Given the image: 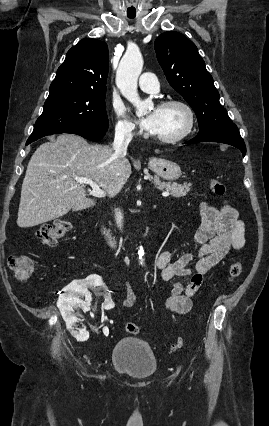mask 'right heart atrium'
<instances>
[{
	"mask_svg": "<svg viewBox=\"0 0 269 426\" xmlns=\"http://www.w3.org/2000/svg\"><path fill=\"white\" fill-rule=\"evenodd\" d=\"M115 131L121 137H132L137 134L135 124L128 118L125 110L120 106H114Z\"/></svg>",
	"mask_w": 269,
	"mask_h": 426,
	"instance_id": "1",
	"label": "right heart atrium"
}]
</instances>
